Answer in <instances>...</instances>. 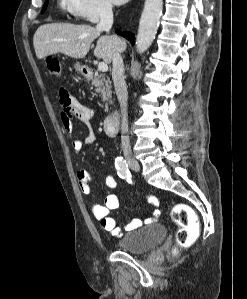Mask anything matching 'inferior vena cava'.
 Masks as SVG:
<instances>
[{
	"mask_svg": "<svg viewBox=\"0 0 247 299\" xmlns=\"http://www.w3.org/2000/svg\"><path fill=\"white\" fill-rule=\"evenodd\" d=\"M113 25V12L112 6L109 3H104L100 9V22L96 28L100 31L104 30L109 32ZM112 79L118 101L121 106V147L124 153L131 152L130 140L128 133V113H127V101L128 93L124 78V64L123 59L119 52H114L112 58Z\"/></svg>",
	"mask_w": 247,
	"mask_h": 299,
	"instance_id": "602c4592",
	"label": "inferior vena cava"
}]
</instances>
